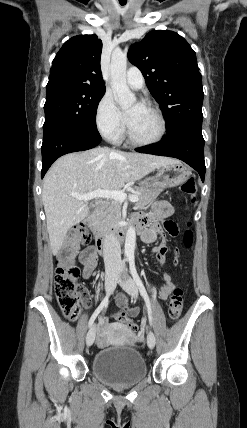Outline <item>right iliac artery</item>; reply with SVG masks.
I'll return each mask as SVG.
<instances>
[{
    "label": "right iliac artery",
    "instance_id": "82829eb1",
    "mask_svg": "<svg viewBox=\"0 0 247 428\" xmlns=\"http://www.w3.org/2000/svg\"><path fill=\"white\" fill-rule=\"evenodd\" d=\"M108 300H109V295H107L103 301L101 302V304L98 306V308L95 310V312L93 313V315L91 316L89 323H88V327H91L94 320L96 319V317L98 316V314L103 310L104 307H106L108 305Z\"/></svg>",
    "mask_w": 247,
    "mask_h": 428
}]
</instances>
